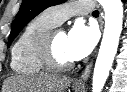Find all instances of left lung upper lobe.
Listing matches in <instances>:
<instances>
[{
	"label": "left lung upper lobe",
	"mask_w": 127,
	"mask_h": 92,
	"mask_svg": "<svg viewBox=\"0 0 127 92\" xmlns=\"http://www.w3.org/2000/svg\"><path fill=\"white\" fill-rule=\"evenodd\" d=\"M65 1L66 0H23L20 10L13 22L7 46H10L20 31L40 12L50 6L64 3Z\"/></svg>",
	"instance_id": "obj_1"
}]
</instances>
